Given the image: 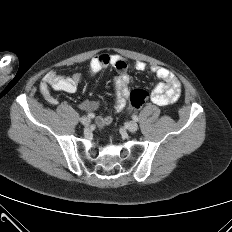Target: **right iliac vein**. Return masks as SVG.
Here are the masks:
<instances>
[{"label": "right iliac vein", "mask_w": 232, "mask_h": 232, "mask_svg": "<svg viewBox=\"0 0 232 232\" xmlns=\"http://www.w3.org/2000/svg\"><path fill=\"white\" fill-rule=\"evenodd\" d=\"M80 122H81L83 125L87 126V125L90 124V119L87 118V117H81V118H80Z\"/></svg>", "instance_id": "right-iliac-vein-1"}]
</instances>
